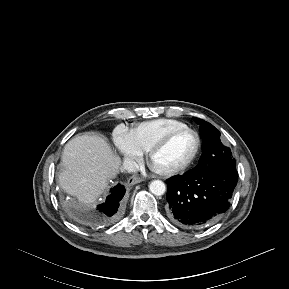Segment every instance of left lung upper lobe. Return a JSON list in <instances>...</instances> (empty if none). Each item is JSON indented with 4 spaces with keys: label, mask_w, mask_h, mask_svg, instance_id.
<instances>
[{
    "label": "left lung upper lobe",
    "mask_w": 289,
    "mask_h": 289,
    "mask_svg": "<svg viewBox=\"0 0 289 289\" xmlns=\"http://www.w3.org/2000/svg\"><path fill=\"white\" fill-rule=\"evenodd\" d=\"M193 120L200 125L203 140V154L196 168L212 167L217 164L235 166L230 148L221 143L220 132L213 125L202 119L194 117Z\"/></svg>",
    "instance_id": "1"
}]
</instances>
